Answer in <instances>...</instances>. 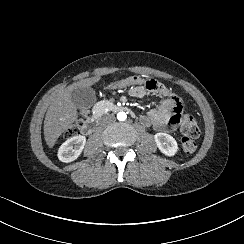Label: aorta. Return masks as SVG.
Returning <instances> with one entry per match:
<instances>
[{
    "mask_svg": "<svg viewBox=\"0 0 244 244\" xmlns=\"http://www.w3.org/2000/svg\"><path fill=\"white\" fill-rule=\"evenodd\" d=\"M126 118H127V115H126L125 112H119V113L117 114V119H118L119 121H124V120H126Z\"/></svg>",
    "mask_w": 244,
    "mask_h": 244,
    "instance_id": "obj_1",
    "label": "aorta"
}]
</instances>
